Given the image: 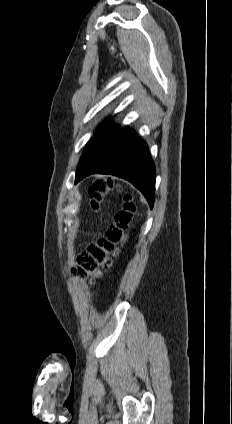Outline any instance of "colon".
I'll return each mask as SVG.
<instances>
[{"instance_id": "colon-1", "label": "colon", "mask_w": 232, "mask_h": 424, "mask_svg": "<svg viewBox=\"0 0 232 424\" xmlns=\"http://www.w3.org/2000/svg\"><path fill=\"white\" fill-rule=\"evenodd\" d=\"M112 187L110 180L96 179L89 188L91 207L98 210L104 195ZM136 209L132 195L126 196V201L121 210L114 217L113 225L107 230L105 236L91 244L78 258V265L72 273L78 278L98 277L102 270L108 269L112 264V256L116 255L117 247L125 240L124 231L130 226Z\"/></svg>"}]
</instances>
